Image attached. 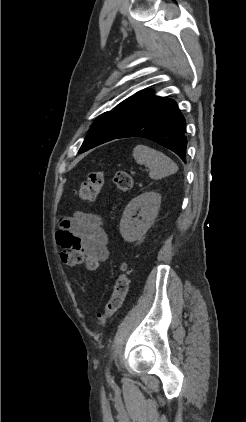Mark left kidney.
<instances>
[{"mask_svg":"<svg viewBox=\"0 0 246 422\" xmlns=\"http://www.w3.org/2000/svg\"><path fill=\"white\" fill-rule=\"evenodd\" d=\"M160 204L161 195L154 191L145 192L132 199L120 221V233L123 239L127 242L143 239L158 215ZM137 211H139L138 216L132 218Z\"/></svg>","mask_w":246,"mask_h":422,"instance_id":"obj_1","label":"left kidney"}]
</instances>
